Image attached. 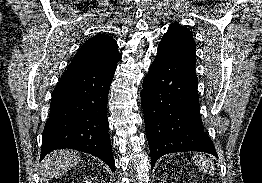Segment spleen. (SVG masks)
I'll return each mask as SVG.
<instances>
[{
    "label": "spleen",
    "instance_id": "3e777b00",
    "mask_svg": "<svg viewBox=\"0 0 262 183\" xmlns=\"http://www.w3.org/2000/svg\"><path fill=\"white\" fill-rule=\"evenodd\" d=\"M195 164L204 172H212L214 170L212 162L203 155L195 156Z\"/></svg>",
    "mask_w": 262,
    "mask_h": 183
}]
</instances>
